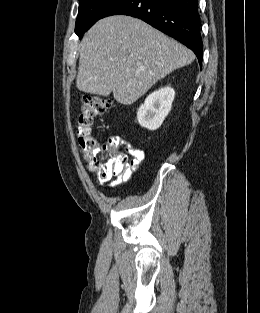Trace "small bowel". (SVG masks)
Here are the masks:
<instances>
[{
    "instance_id": "1",
    "label": "small bowel",
    "mask_w": 260,
    "mask_h": 313,
    "mask_svg": "<svg viewBox=\"0 0 260 313\" xmlns=\"http://www.w3.org/2000/svg\"><path fill=\"white\" fill-rule=\"evenodd\" d=\"M131 152L134 156L132 166L135 167L143 160L144 154L141 150H136V149H131ZM129 175H130V173L127 172L123 177H120L119 179H116V180L110 182L109 187L114 188V187H116L122 183L128 182L129 181Z\"/></svg>"
}]
</instances>
